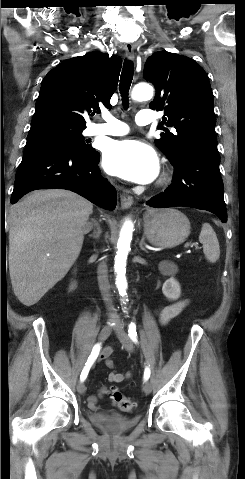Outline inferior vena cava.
Returning <instances> with one entry per match:
<instances>
[{"instance_id": "1", "label": "inferior vena cava", "mask_w": 245, "mask_h": 479, "mask_svg": "<svg viewBox=\"0 0 245 479\" xmlns=\"http://www.w3.org/2000/svg\"><path fill=\"white\" fill-rule=\"evenodd\" d=\"M97 274L99 289L106 304L107 310L110 312L111 316H116L112 300L110 298V284L108 281V270L106 263L102 262L98 265Z\"/></svg>"}]
</instances>
